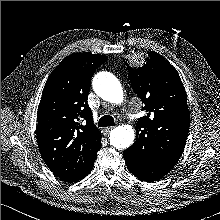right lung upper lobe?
<instances>
[{
  "instance_id": "right-lung-upper-lobe-1",
  "label": "right lung upper lobe",
  "mask_w": 220,
  "mask_h": 220,
  "mask_svg": "<svg viewBox=\"0 0 220 220\" xmlns=\"http://www.w3.org/2000/svg\"><path fill=\"white\" fill-rule=\"evenodd\" d=\"M107 59L89 52L71 54L52 71L43 89L37 143L45 163L63 181L80 180L101 148L87 97L93 73Z\"/></svg>"
}]
</instances>
